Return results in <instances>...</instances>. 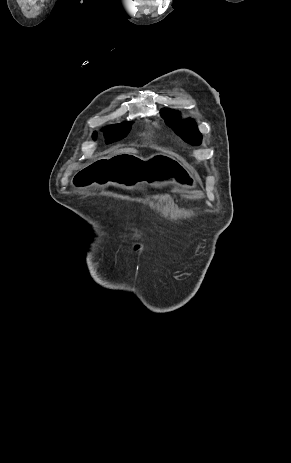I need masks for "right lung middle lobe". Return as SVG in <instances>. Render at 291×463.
I'll return each instance as SVG.
<instances>
[{"instance_id":"dd1d6c3e","label":"right lung middle lobe","mask_w":291,"mask_h":463,"mask_svg":"<svg viewBox=\"0 0 291 463\" xmlns=\"http://www.w3.org/2000/svg\"><path fill=\"white\" fill-rule=\"evenodd\" d=\"M131 122H124L122 124L109 126L104 129L105 142L107 144L118 141L124 138L130 131ZM96 138V133L93 134Z\"/></svg>"}]
</instances>
